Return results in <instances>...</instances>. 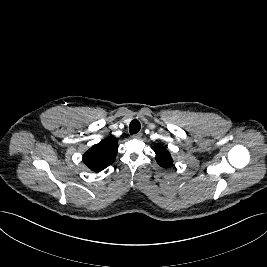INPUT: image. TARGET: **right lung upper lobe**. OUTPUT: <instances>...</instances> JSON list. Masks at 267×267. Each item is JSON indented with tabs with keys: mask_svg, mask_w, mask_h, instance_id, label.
Segmentation results:
<instances>
[{
	"mask_svg": "<svg viewBox=\"0 0 267 267\" xmlns=\"http://www.w3.org/2000/svg\"><path fill=\"white\" fill-rule=\"evenodd\" d=\"M117 151L118 140L113 137H107L85 152L83 162L91 170L99 172L115 161Z\"/></svg>",
	"mask_w": 267,
	"mask_h": 267,
	"instance_id": "1",
	"label": "right lung upper lobe"
}]
</instances>
